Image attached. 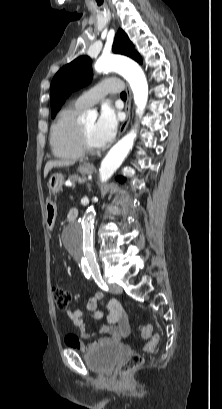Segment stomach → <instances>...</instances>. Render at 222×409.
I'll list each match as a JSON object with an SVG mask.
<instances>
[{
  "label": "stomach",
  "instance_id": "stomach-1",
  "mask_svg": "<svg viewBox=\"0 0 222 409\" xmlns=\"http://www.w3.org/2000/svg\"><path fill=\"white\" fill-rule=\"evenodd\" d=\"M78 171L83 175L91 174L92 167L88 165H81L79 166ZM63 184H64V176L61 173L52 174L47 183L50 194H57L59 191H61ZM45 212H46V224L49 229H52L55 224V220L57 216V207L51 199L47 200V203L45 206Z\"/></svg>",
  "mask_w": 222,
  "mask_h": 409
}]
</instances>
